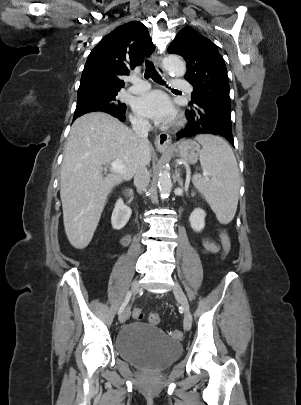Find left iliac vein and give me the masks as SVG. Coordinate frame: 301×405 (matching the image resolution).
Instances as JSON below:
<instances>
[{
    "mask_svg": "<svg viewBox=\"0 0 301 405\" xmlns=\"http://www.w3.org/2000/svg\"><path fill=\"white\" fill-rule=\"evenodd\" d=\"M173 293H174L177 301L183 307V310L185 313L183 326H184V329L186 331H188V330H190L191 325H192V319H191V315H190V306H189L188 299H187L185 293L183 292V290L181 289L180 285L178 284V282H175V284L173 286Z\"/></svg>",
    "mask_w": 301,
    "mask_h": 405,
    "instance_id": "obj_1",
    "label": "left iliac vein"
}]
</instances>
